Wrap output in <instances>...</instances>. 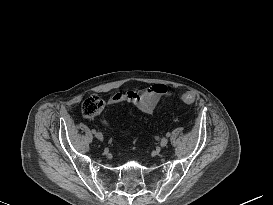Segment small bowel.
<instances>
[{
  "mask_svg": "<svg viewBox=\"0 0 273 205\" xmlns=\"http://www.w3.org/2000/svg\"><path fill=\"white\" fill-rule=\"evenodd\" d=\"M172 88L164 84H153L142 90H127L113 94L107 104L110 106L123 102L133 103L142 114H152L161 98L170 96Z\"/></svg>",
  "mask_w": 273,
  "mask_h": 205,
  "instance_id": "obj_1",
  "label": "small bowel"
}]
</instances>
